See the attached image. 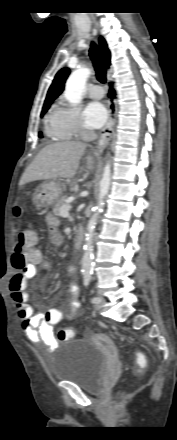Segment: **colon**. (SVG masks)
Here are the masks:
<instances>
[{
    "label": "colon",
    "instance_id": "colon-1",
    "mask_svg": "<svg viewBox=\"0 0 177 440\" xmlns=\"http://www.w3.org/2000/svg\"><path fill=\"white\" fill-rule=\"evenodd\" d=\"M15 216L18 218L21 214V208L15 207ZM37 235L31 229H22L20 225L15 226V239L13 242L12 264L17 269L26 268L36 256L35 244ZM74 337L71 328H63L57 333V340L64 342Z\"/></svg>",
    "mask_w": 177,
    "mask_h": 440
}]
</instances>
